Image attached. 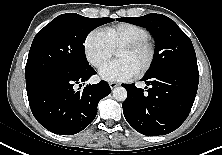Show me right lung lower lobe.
<instances>
[{"label": "right lung lower lobe", "instance_id": "right-lung-lower-lobe-1", "mask_svg": "<svg viewBox=\"0 0 222 155\" xmlns=\"http://www.w3.org/2000/svg\"><path fill=\"white\" fill-rule=\"evenodd\" d=\"M93 74L96 71L90 66L74 74L44 76L26 86L37 121L60 135H73L86 128L96 117L98 102L111 92L103 80L80 89Z\"/></svg>", "mask_w": 222, "mask_h": 155}]
</instances>
